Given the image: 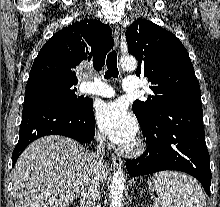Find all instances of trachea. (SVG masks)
Segmentation results:
<instances>
[{
	"label": "trachea",
	"mask_w": 220,
	"mask_h": 207,
	"mask_svg": "<svg viewBox=\"0 0 220 207\" xmlns=\"http://www.w3.org/2000/svg\"><path fill=\"white\" fill-rule=\"evenodd\" d=\"M106 65H107V71L104 75V78L105 79H110L111 77L118 78L119 71L117 68V53H116V51H112L108 54L107 60H106Z\"/></svg>",
	"instance_id": "1"
}]
</instances>
